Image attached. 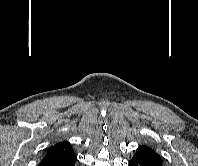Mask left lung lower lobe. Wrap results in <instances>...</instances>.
I'll use <instances>...</instances> for the list:
<instances>
[{"label":"left lung lower lobe","mask_w":198,"mask_h":166,"mask_svg":"<svg viewBox=\"0 0 198 166\" xmlns=\"http://www.w3.org/2000/svg\"><path fill=\"white\" fill-rule=\"evenodd\" d=\"M129 166H162V163L145 158L141 155H134L129 161Z\"/></svg>","instance_id":"0a47b994"}]
</instances>
